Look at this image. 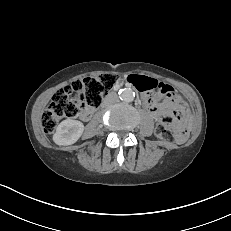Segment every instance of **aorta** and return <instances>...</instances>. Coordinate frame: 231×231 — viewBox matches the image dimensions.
<instances>
[{
  "mask_svg": "<svg viewBox=\"0 0 231 231\" xmlns=\"http://www.w3.org/2000/svg\"><path fill=\"white\" fill-rule=\"evenodd\" d=\"M119 97L124 102H132L134 100L135 93L129 88H124L120 91Z\"/></svg>",
  "mask_w": 231,
  "mask_h": 231,
  "instance_id": "1",
  "label": "aorta"
}]
</instances>
